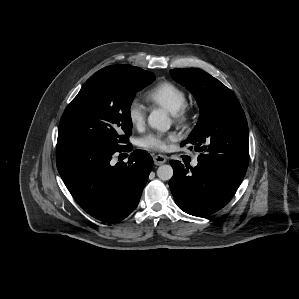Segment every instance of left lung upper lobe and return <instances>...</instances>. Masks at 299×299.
Segmentation results:
<instances>
[{
    "label": "left lung upper lobe",
    "instance_id": "left-lung-upper-lobe-1",
    "mask_svg": "<svg viewBox=\"0 0 299 299\" xmlns=\"http://www.w3.org/2000/svg\"><path fill=\"white\" fill-rule=\"evenodd\" d=\"M170 75L194 95L200 108L197 125L181 145L201 152L198 161L246 170L248 125L235 94L200 69H172Z\"/></svg>",
    "mask_w": 299,
    "mask_h": 299
}]
</instances>
